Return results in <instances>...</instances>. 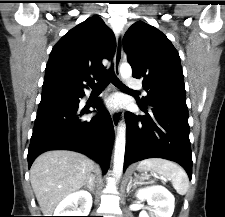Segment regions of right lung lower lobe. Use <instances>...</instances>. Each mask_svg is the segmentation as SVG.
Returning a JSON list of instances; mask_svg holds the SVG:
<instances>
[{
  "instance_id": "right-lung-lower-lobe-1",
  "label": "right lung lower lobe",
  "mask_w": 225,
  "mask_h": 217,
  "mask_svg": "<svg viewBox=\"0 0 225 217\" xmlns=\"http://www.w3.org/2000/svg\"><path fill=\"white\" fill-rule=\"evenodd\" d=\"M78 94L75 99L41 100L28 149L29 168L34 159L48 150H73L97 161L105 173L108 169L114 128L111 117L97 99L92 107L100 111L91 120L80 117L89 110L80 111Z\"/></svg>"
}]
</instances>
